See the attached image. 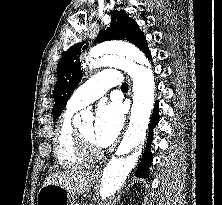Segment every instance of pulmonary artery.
Listing matches in <instances>:
<instances>
[{
	"instance_id": "e3ab8cb5",
	"label": "pulmonary artery",
	"mask_w": 222,
	"mask_h": 205,
	"mask_svg": "<svg viewBox=\"0 0 222 205\" xmlns=\"http://www.w3.org/2000/svg\"><path fill=\"white\" fill-rule=\"evenodd\" d=\"M121 85V76L115 69H103L81 85L68 101V108L78 110L95 101L111 87Z\"/></svg>"
}]
</instances>
